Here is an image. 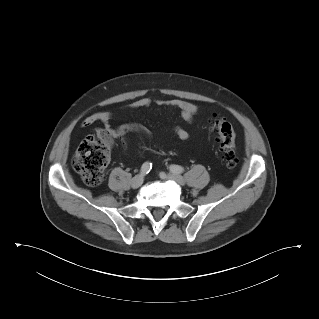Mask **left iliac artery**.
Returning <instances> with one entry per match:
<instances>
[{"instance_id":"obj_1","label":"left iliac artery","mask_w":319,"mask_h":319,"mask_svg":"<svg viewBox=\"0 0 319 319\" xmlns=\"http://www.w3.org/2000/svg\"><path fill=\"white\" fill-rule=\"evenodd\" d=\"M169 170L172 173L180 174V173H183L184 168L179 165H170Z\"/></svg>"}]
</instances>
